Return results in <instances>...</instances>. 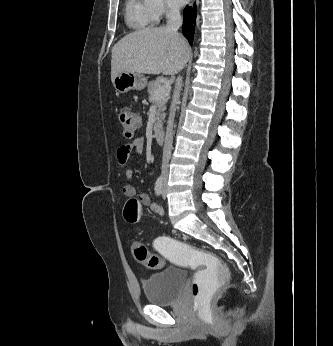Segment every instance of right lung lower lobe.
Listing matches in <instances>:
<instances>
[{"mask_svg": "<svg viewBox=\"0 0 333 346\" xmlns=\"http://www.w3.org/2000/svg\"><path fill=\"white\" fill-rule=\"evenodd\" d=\"M196 19V5L194 7L186 6L184 9V23L182 26L183 35L189 43H193L194 24Z\"/></svg>", "mask_w": 333, "mask_h": 346, "instance_id": "right-lung-lower-lobe-1", "label": "right lung lower lobe"}]
</instances>
